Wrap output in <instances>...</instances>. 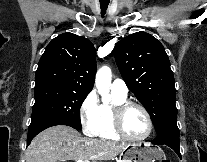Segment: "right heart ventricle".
I'll return each instance as SVG.
<instances>
[{
  "label": "right heart ventricle",
  "instance_id": "right-heart-ventricle-1",
  "mask_svg": "<svg viewBox=\"0 0 207 162\" xmlns=\"http://www.w3.org/2000/svg\"><path fill=\"white\" fill-rule=\"evenodd\" d=\"M127 97V96H126ZM126 97H121L113 94V104H118L126 101ZM112 106L102 104L99 108V124L96 136L104 140H119L120 137L116 135L112 125Z\"/></svg>",
  "mask_w": 207,
  "mask_h": 162
}]
</instances>
